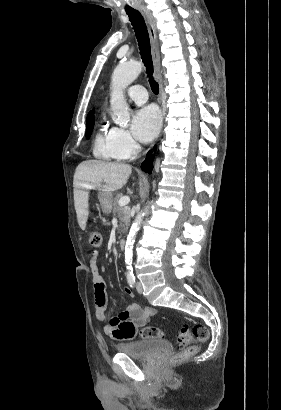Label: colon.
<instances>
[{
	"mask_svg": "<svg viewBox=\"0 0 281 410\" xmlns=\"http://www.w3.org/2000/svg\"><path fill=\"white\" fill-rule=\"evenodd\" d=\"M89 242L92 247H100L102 244L101 233L95 230L90 231ZM140 335L143 338H163L164 332L158 327L147 326L140 331ZM208 336V329L201 324L194 325L192 329L188 325L182 326L177 337V344L181 351L172 357V362L179 363L194 356L199 345L206 342ZM193 338L195 341H193Z\"/></svg>",
	"mask_w": 281,
	"mask_h": 410,
	"instance_id": "5ec220e1",
	"label": "colon"
}]
</instances>
